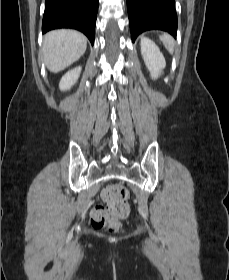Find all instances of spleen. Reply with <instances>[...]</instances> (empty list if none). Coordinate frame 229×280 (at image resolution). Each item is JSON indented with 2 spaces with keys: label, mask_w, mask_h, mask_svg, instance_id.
Returning a JSON list of instances; mask_svg holds the SVG:
<instances>
[{
  "label": "spleen",
  "mask_w": 229,
  "mask_h": 280,
  "mask_svg": "<svg viewBox=\"0 0 229 280\" xmlns=\"http://www.w3.org/2000/svg\"><path fill=\"white\" fill-rule=\"evenodd\" d=\"M160 39L163 42L165 48L172 54L174 52V46H175L174 39L168 34L161 35Z\"/></svg>",
  "instance_id": "1"
}]
</instances>
